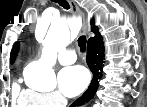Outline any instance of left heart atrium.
Segmentation results:
<instances>
[{"instance_id": "1", "label": "left heart atrium", "mask_w": 147, "mask_h": 107, "mask_svg": "<svg viewBox=\"0 0 147 107\" xmlns=\"http://www.w3.org/2000/svg\"><path fill=\"white\" fill-rule=\"evenodd\" d=\"M89 81V74L82 66H70L62 69L58 75V85L66 97L80 94Z\"/></svg>"}]
</instances>
